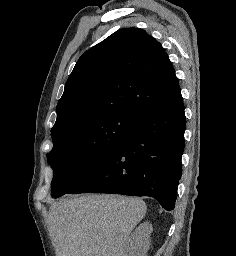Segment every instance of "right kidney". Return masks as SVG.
I'll list each match as a JSON object with an SVG mask.
<instances>
[{"label": "right kidney", "instance_id": "1", "mask_svg": "<svg viewBox=\"0 0 236 256\" xmlns=\"http://www.w3.org/2000/svg\"><path fill=\"white\" fill-rule=\"evenodd\" d=\"M152 230L153 228L150 222H144V224H140L134 230L129 242L126 244L127 256H147L151 244L150 236Z\"/></svg>", "mask_w": 236, "mask_h": 256}]
</instances>
